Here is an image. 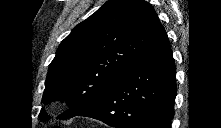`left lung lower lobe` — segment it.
Segmentation results:
<instances>
[{
	"mask_svg": "<svg viewBox=\"0 0 221 128\" xmlns=\"http://www.w3.org/2000/svg\"><path fill=\"white\" fill-rule=\"evenodd\" d=\"M175 74L164 31L100 101L76 116L115 128H170L177 92Z\"/></svg>",
	"mask_w": 221,
	"mask_h": 128,
	"instance_id": "left-lung-lower-lobe-1",
	"label": "left lung lower lobe"
}]
</instances>
